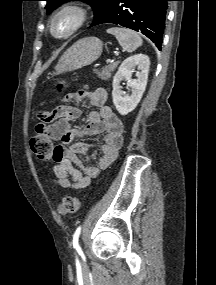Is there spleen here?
<instances>
[{
  "label": "spleen",
  "instance_id": "3e777b00",
  "mask_svg": "<svg viewBox=\"0 0 216 285\" xmlns=\"http://www.w3.org/2000/svg\"><path fill=\"white\" fill-rule=\"evenodd\" d=\"M107 33L116 37L121 47L127 52H133L143 43L141 37L134 31L126 28L113 27Z\"/></svg>",
  "mask_w": 216,
  "mask_h": 285
}]
</instances>
